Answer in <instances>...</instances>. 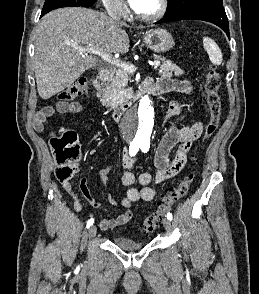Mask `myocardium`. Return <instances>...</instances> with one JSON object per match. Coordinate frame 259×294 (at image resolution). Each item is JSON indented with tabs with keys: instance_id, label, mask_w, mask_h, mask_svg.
Segmentation results:
<instances>
[{
	"instance_id": "1",
	"label": "myocardium",
	"mask_w": 259,
	"mask_h": 294,
	"mask_svg": "<svg viewBox=\"0 0 259 294\" xmlns=\"http://www.w3.org/2000/svg\"><path fill=\"white\" fill-rule=\"evenodd\" d=\"M169 8V0H160V6L159 9L150 15H142L139 14L137 11H134L135 16L137 19L144 21V22H152L157 21L165 16Z\"/></svg>"
}]
</instances>
